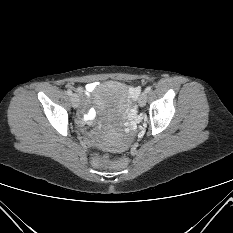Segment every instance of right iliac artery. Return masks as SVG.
Listing matches in <instances>:
<instances>
[{
  "label": "right iliac artery",
  "instance_id": "1",
  "mask_svg": "<svg viewBox=\"0 0 233 233\" xmlns=\"http://www.w3.org/2000/svg\"><path fill=\"white\" fill-rule=\"evenodd\" d=\"M66 93H67L69 96H71V95H72V91H71V90H69V89L66 91Z\"/></svg>",
  "mask_w": 233,
  "mask_h": 233
}]
</instances>
